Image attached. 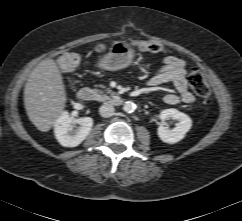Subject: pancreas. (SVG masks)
<instances>
[{
	"mask_svg": "<svg viewBox=\"0 0 242 221\" xmlns=\"http://www.w3.org/2000/svg\"><path fill=\"white\" fill-rule=\"evenodd\" d=\"M96 92L99 94V93H101V91H99V90H96ZM108 93L109 94H111V95H113V92H111V90H108ZM109 97L107 96V95H105V94H103V95H100L99 97H98V99L100 100V101H105V100H107Z\"/></svg>",
	"mask_w": 242,
	"mask_h": 221,
	"instance_id": "1",
	"label": "pancreas"
}]
</instances>
